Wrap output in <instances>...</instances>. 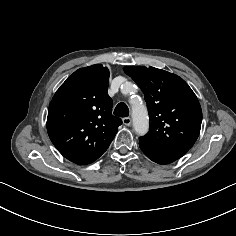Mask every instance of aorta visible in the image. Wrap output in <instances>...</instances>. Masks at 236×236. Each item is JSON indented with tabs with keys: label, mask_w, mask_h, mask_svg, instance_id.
I'll use <instances>...</instances> for the list:
<instances>
[{
	"label": "aorta",
	"mask_w": 236,
	"mask_h": 236,
	"mask_svg": "<svg viewBox=\"0 0 236 236\" xmlns=\"http://www.w3.org/2000/svg\"><path fill=\"white\" fill-rule=\"evenodd\" d=\"M132 119L134 130L138 135H144L148 131V114L143 104H137L132 107Z\"/></svg>",
	"instance_id": "obj_1"
}]
</instances>
